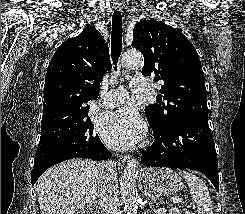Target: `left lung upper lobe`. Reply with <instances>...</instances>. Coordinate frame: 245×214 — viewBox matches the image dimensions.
<instances>
[{
  "label": "left lung upper lobe",
  "instance_id": "left-lung-upper-lobe-1",
  "mask_svg": "<svg viewBox=\"0 0 245 214\" xmlns=\"http://www.w3.org/2000/svg\"><path fill=\"white\" fill-rule=\"evenodd\" d=\"M132 47L144 55L142 74L164 81L158 103L145 107L154 129L169 131L191 117L208 118L201 62L185 35L163 22L143 20L134 27Z\"/></svg>",
  "mask_w": 245,
  "mask_h": 214
}]
</instances>
